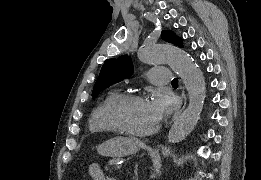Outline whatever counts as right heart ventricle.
<instances>
[{
	"label": "right heart ventricle",
	"instance_id": "e07e8e85",
	"mask_svg": "<svg viewBox=\"0 0 261 180\" xmlns=\"http://www.w3.org/2000/svg\"><path fill=\"white\" fill-rule=\"evenodd\" d=\"M122 93L119 90L112 89L105 93L91 112L88 121V133H105V138H91L95 142H102L113 137V130L108 120V109L113 105Z\"/></svg>",
	"mask_w": 261,
	"mask_h": 180
}]
</instances>
